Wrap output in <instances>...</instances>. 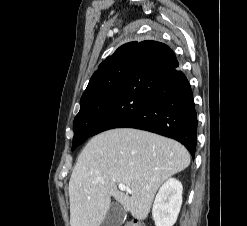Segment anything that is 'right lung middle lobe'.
Listing matches in <instances>:
<instances>
[{"label": "right lung middle lobe", "mask_w": 247, "mask_h": 226, "mask_svg": "<svg viewBox=\"0 0 247 226\" xmlns=\"http://www.w3.org/2000/svg\"><path fill=\"white\" fill-rule=\"evenodd\" d=\"M130 56L112 60L80 100V111L73 122L74 138L72 150L91 136L97 122L117 93Z\"/></svg>", "instance_id": "right-lung-middle-lobe-1"}]
</instances>
